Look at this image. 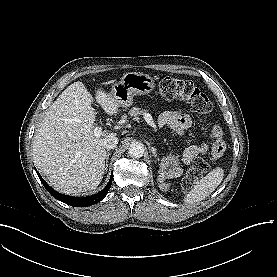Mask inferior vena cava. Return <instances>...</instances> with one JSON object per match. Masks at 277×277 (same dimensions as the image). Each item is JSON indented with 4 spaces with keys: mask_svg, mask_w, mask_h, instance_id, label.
<instances>
[{
    "mask_svg": "<svg viewBox=\"0 0 277 277\" xmlns=\"http://www.w3.org/2000/svg\"><path fill=\"white\" fill-rule=\"evenodd\" d=\"M118 142H119V140L117 137H115V136L108 137L104 141V148H106L108 150L113 149L117 146Z\"/></svg>",
    "mask_w": 277,
    "mask_h": 277,
    "instance_id": "602c4592",
    "label": "inferior vena cava"
}]
</instances>
